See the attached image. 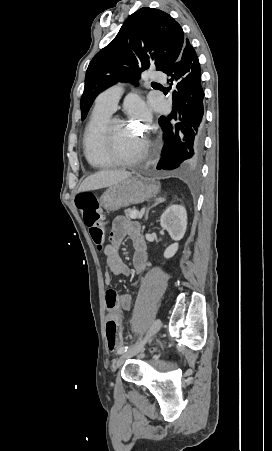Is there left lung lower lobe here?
<instances>
[{"mask_svg": "<svg viewBox=\"0 0 272 451\" xmlns=\"http://www.w3.org/2000/svg\"><path fill=\"white\" fill-rule=\"evenodd\" d=\"M164 73L170 76L173 109L161 116L164 147L157 169H187L197 166L203 153L204 91L198 57L189 40L178 60Z\"/></svg>", "mask_w": 272, "mask_h": 451, "instance_id": "1", "label": "left lung lower lobe"}]
</instances>
